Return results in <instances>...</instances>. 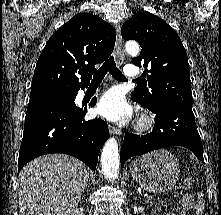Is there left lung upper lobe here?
I'll list each match as a JSON object with an SVG mask.
<instances>
[{"mask_svg":"<svg viewBox=\"0 0 221 215\" xmlns=\"http://www.w3.org/2000/svg\"><path fill=\"white\" fill-rule=\"evenodd\" d=\"M125 40H136L142 50L132 59L145 68V86L131 93L133 101L151 110L177 107L192 110L190 68L177 33L162 19L139 12L121 29ZM147 86V87H146Z\"/></svg>","mask_w":221,"mask_h":215,"instance_id":"1","label":"left lung upper lobe"}]
</instances>
